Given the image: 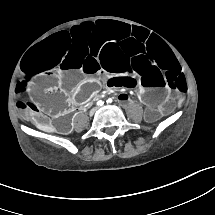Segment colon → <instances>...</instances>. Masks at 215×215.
Masks as SVG:
<instances>
[{
  "instance_id": "1",
  "label": "colon",
  "mask_w": 215,
  "mask_h": 215,
  "mask_svg": "<svg viewBox=\"0 0 215 215\" xmlns=\"http://www.w3.org/2000/svg\"><path fill=\"white\" fill-rule=\"evenodd\" d=\"M53 92L47 91L43 94V97L41 101H47V100H53ZM45 107H49L48 104H42ZM18 109L23 112L25 116L28 117H37L40 111V108L37 104L35 103H28V102H19L18 103Z\"/></svg>"
}]
</instances>
